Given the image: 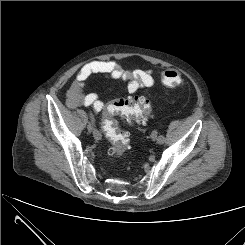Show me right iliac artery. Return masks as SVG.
<instances>
[{"instance_id":"obj_1","label":"right iliac artery","mask_w":245,"mask_h":245,"mask_svg":"<svg viewBox=\"0 0 245 245\" xmlns=\"http://www.w3.org/2000/svg\"><path fill=\"white\" fill-rule=\"evenodd\" d=\"M90 120L92 123V128L94 129V132H96L97 135L99 136V139H101V134L99 133V131L96 128H94L96 126H95V119H94V116L92 115V113H90ZM93 125H94V127H93Z\"/></svg>"}]
</instances>
